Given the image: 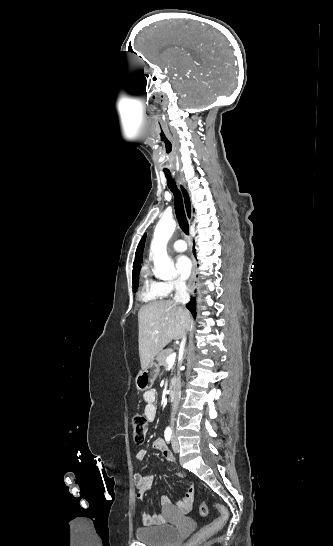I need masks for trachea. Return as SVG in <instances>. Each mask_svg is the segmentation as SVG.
Wrapping results in <instances>:
<instances>
[{
	"mask_svg": "<svg viewBox=\"0 0 333 546\" xmlns=\"http://www.w3.org/2000/svg\"><path fill=\"white\" fill-rule=\"evenodd\" d=\"M165 176L167 178V185L174 195L175 213L179 226L185 234L189 235V224L185 215L183 200L180 191L178 190L175 181L172 179L171 174L169 172H165Z\"/></svg>",
	"mask_w": 333,
	"mask_h": 546,
	"instance_id": "trachea-1",
	"label": "trachea"
}]
</instances>
